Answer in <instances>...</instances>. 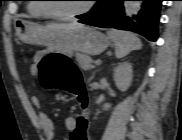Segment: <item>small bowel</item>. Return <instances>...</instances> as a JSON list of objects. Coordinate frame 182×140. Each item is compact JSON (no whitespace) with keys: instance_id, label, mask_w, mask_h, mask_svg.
<instances>
[{"instance_id":"1","label":"small bowel","mask_w":182,"mask_h":140,"mask_svg":"<svg viewBox=\"0 0 182 140\" xmlns=\"http://www.w3.org/2000/svg\"><path fill=\"white\" fill-rule=\"evenodd\" d=\"M42 59H43L42 53L37 52L34 55L33 62L30 66L31 74H36L38 72V65L42 61ZM31 100L35 107L37 108L41 107V101L37 95H32ZM38 122L43 131L45 140H52L54 138V125L48 114L45 112H39ZM65 126L71 132L75 128V118L67 117L65 119Z\"/></svg>"}]
</instances>
